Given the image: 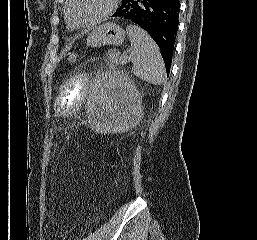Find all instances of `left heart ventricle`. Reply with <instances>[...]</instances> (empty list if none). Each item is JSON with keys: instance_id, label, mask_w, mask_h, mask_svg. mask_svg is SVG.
Here are the masks:
<instances>
[{"instance_id": "b2bd125f", "label": "left heart ventricle", "mask_w": 257, "mask_h": 240, "mask_svg": "<svg viewBox=\"0 0 257 240\" xmlns=\"http://www.w3.org/2000/svg\"><path fill=\"white\" fill-rule=\"evenodd\" d=\"M110 0H73L70 15L76 23H86L101 14Z\"/></svg>"}]
</instances>
